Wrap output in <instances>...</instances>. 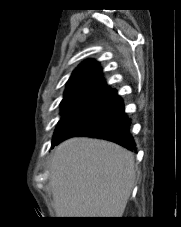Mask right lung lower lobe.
Returning a JSON list of instances; mask_svg holds the SVG:
<instances>
[{"label":"right lung lower lobe","mask_w":181,"mask_h":227,"mask_svg":"<svg viewBox=\"0 0 181 227\" xmlns=\"http://www.w3.org/2000/svg\"><path fill=\"white\" fill-rule=\"evenodd\" d=\"M130 123L123 101L114 91L103 107L70 126L57 141L52 142V147L73 136H89L115 142L133 151L135 142L130 136Z\"/></svg>","instance_id":"right-lung-lower-lobe-1"}]
</instances>
